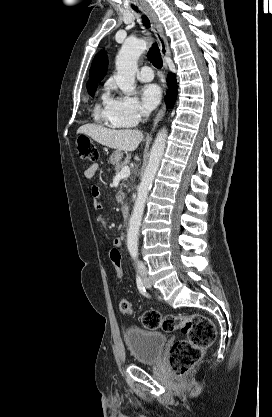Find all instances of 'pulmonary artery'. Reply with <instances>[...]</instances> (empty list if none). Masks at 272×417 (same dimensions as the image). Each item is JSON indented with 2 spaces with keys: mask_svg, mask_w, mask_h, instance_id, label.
<instances>
[{
  "mask_svg": "<svg viewBox=\"0 0 272 417\" xmlns=\"http://www.w3.org/2000/svg\"><path fill=\"white\" fill-rule=\"evenodd\" d=\"M153 77V70L149 66H143L137 74V78L142 82H149Z\"/></svg>",
  "mask_w": 272,
  "mask_h": 417,
  "instance_id": "1",
  "label": "pulmonary artery"
}]
</instances>
